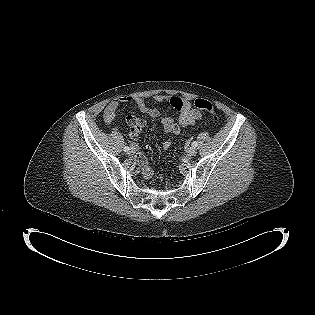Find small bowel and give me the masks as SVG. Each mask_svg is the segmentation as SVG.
I'll return each mask as SVG.
<instances>
[{
	"label": "small bowel",
	"mask_w": 315,
	"mask_h": 315,
	"mask_svg": "<svg viewBox=\"0 0 315 315\" xmlns=\"http://www.w3.org/2000/svg\"><path fill=\"white\" fill-rule=\"evenodd\" d=\"M152 99L157 103H169L177 112V118L173 119L171 117L161 116L157 109L146 105V100L143 97H121L114 99L107 105L104 111V120L108 124L114 123L116 111L123 102L134 103L140 112L152 119L160 118V125L166 134H178L182 127L193 125L202 118L201 111L197 108H193L188 99L166 94L153 95ZM144 126L145 123L141 121L140 125L138 128H135L133 133L129 132L130 137L136 138ZM169 147L170 142H165L163 144L164 150H167ZM135 160L143 168L144 178L150 179L153 175V170L149 166L145 156L142 153H136Z\"/></svg>",
	"instance_id": "c3829d8e"
}]
</instances>
